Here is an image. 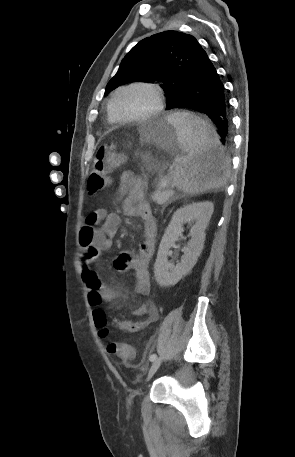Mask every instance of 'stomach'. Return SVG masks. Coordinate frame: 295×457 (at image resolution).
<instances>
[{
  "mask_svg": "<svg viewBox=\"0 0 295 457\" xmlns=\"http://www.w3.org/2000/svg\"><path fill=\"white\" fill-rule=\"evenodd\" d=\"M144 143L167 149L179 145L175 126L167 117L152 120L141 129Z\"/></svg>",
  "mask_w": 295,
  "mask_h": 457,
  "instance_id": "obj_1",
  "label": "stomach"
}]
</instances>
